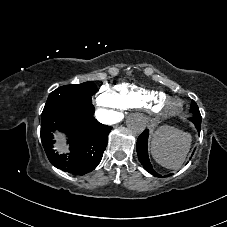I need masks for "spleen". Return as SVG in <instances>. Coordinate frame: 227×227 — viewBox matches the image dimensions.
<instances>
[{"label": "spleen", "instance_id": "3e777b00", "mask_svg": "<svg viewBox=\"0 0 227 227\" xmlns=\"http://www.w3.org/2000/svg\"><path fill=\"white\" fill-rule=\"evenodd\" d=\"M191 136L175 127L162 126L152 136L151 153L160 165L176 169L185 160Z\"/></svg>", "mask_w": 227, "mask_h": 227}]
</instances>
